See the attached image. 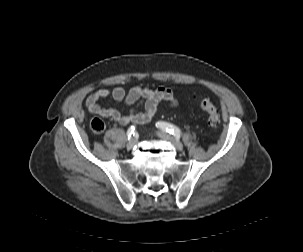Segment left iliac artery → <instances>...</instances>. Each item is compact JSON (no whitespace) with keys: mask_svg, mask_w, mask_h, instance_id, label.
Returning <instances> with one entry per match:
<instances>
[{"mask_svg":"<svg viewBox=\"0 0 303 252\" xmlns=\"http://www.w3.org/2000/svg\"><path fill=\"white\" fill-rule=\"evenodd\" d=\"M156 126L158 128H161L167 132H169L170 134L174 135V137L176 138H180L181 136V131L178 127L172 125V124H169L167 122H162V121H159L156 123Z\"/></svg>","mask_w":303,"mask_h":252,"instance_id":"1","label":"left iliac artery"}]
</instances>
